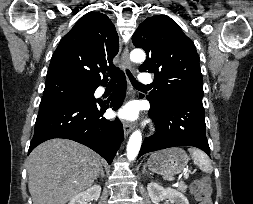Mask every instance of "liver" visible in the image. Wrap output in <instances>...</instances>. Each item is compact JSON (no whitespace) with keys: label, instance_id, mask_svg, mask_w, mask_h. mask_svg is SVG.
<instances>
[{"label":"liver","instance_id":"obj_1","mask_svg":"<svg viewBox=\"0 0 253 204\" xmlns=\"http://www.w3.org/2000/svg\"><path fill=\"white\" fill-rule=\"evenodd\" d=\"M100 157L68 139H51L28 158V188L33 204H66L100 174Z\"/></svg>","mask_w":253,"mask_h":204}]
</instances>
